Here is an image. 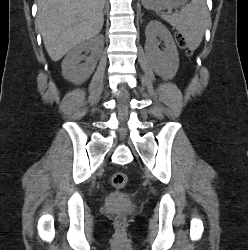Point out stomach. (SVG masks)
<instances>
[{"label": "stomach", "instance_id": "0dacf381", "mask_svg": "<svg viewBox=\"0 0 248 250\" xmlns=\"http://www.w3.org/2000/svg\"><path fill=\"white\" fill-rule=\"evenodd\" d=\"M186 2L187 0H142L145 8L157 11L177 8Z\"/></svg>", "mask_w": 248, "mask_h": 250}]
</instances>
